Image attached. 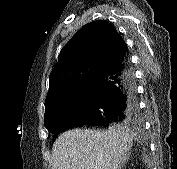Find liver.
<instances>
[{"label":"liver","instance_id":"6515ba94","mask_svg":"<svg viewBox=\"0 0 177 169\" xmlns=\"http://www.w3.org/2000/svg\"><path fill=\"white\" fill-rule=\"evenodd\" d=\"M132 144L126 127L69 130L54 142L52 169H120Z\"/></svg>","mask_w":177,"mask_h":169}]
</instances>
